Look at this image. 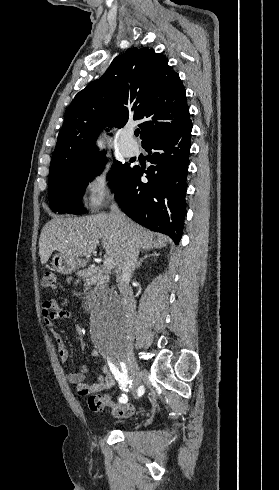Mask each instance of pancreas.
Returning <instances> with one entry per match:
<instances>
[{"label":"pancreas","instance_id":"obj_1","mask_svg":"<svg viewBox=\"0 0 279 490\" xmlns=\"http://www.w3.org/2000/svg\"><path fill=\"white\" fill-rule=\"evenodd\" d=\"M83 274L85 278V290H89V288H86V286H93V284L100 286V284H105V282H108L110 268L104 270V268H101V266H97V268H88V270H85Z\"/></svg>","mask_w":279,"mask_h":490}]
</instances>
